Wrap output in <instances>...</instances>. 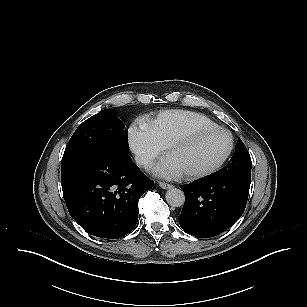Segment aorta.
Masks as SVG:
<instances>
[{
    "label": "aorta",
    "instance_id": "762f6f07",
    "mask_svg": "<svg viewBox=\"0 0 307 307\" xmlns=\"http://www.w3.org/2000/svg\"><path fill=\"white\" fill-rule=\"evenodd\" d=\"M167 203L172 207H180L184 204L185 195L181 189L170 188L165 194Z\"/></svg>",
    "mask_w": 307,
    "mask_h": 307
}]
</instances>
